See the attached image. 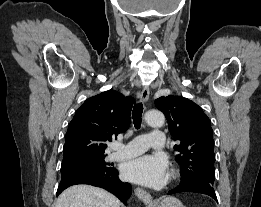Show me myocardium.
Here are the masks:
<instances>
[{"label":"myocardium","instance_id":"myocardium-1","mask_svg":"<svg viewBox=\"0 0 261 207\" xmlns=\"http://www.w3.org/2000/svg\"><path fill=\"white\" fill-rule=\"evenodd\" d=\"M176 177V173L175 172H172L171 174H170V179L172 180V179H174Z\"/></svg>","mask_w":261,"mask_h":207}]
</instances>
